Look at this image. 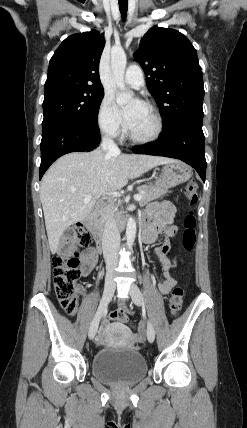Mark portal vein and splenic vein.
<instances>
[{
	"instance_id": "portal-vein-and-splenic-vein-1",
	"label": "portal vein and splenic vein",
	"mask_w": 247,
	"mask_h": 428,
	"mask_svg": "<svg viewBox=\"0 0 247 428\" xmlns=\"http://www.w3.org/2000/svg\"><path fill=\"white\" fill-rule=\"evenodd\" d=\"M106 194H108V195H112V196H114V197H116V196H120L119 192H116V191H113V192H110V193H106ZM91 198H92V196H91V195H86V196L84 197V203H88V202L91 200ZM141 199H142L141 194H136V195H134V200H135V201H140Z\"/></svg>"
}]
</instances>
